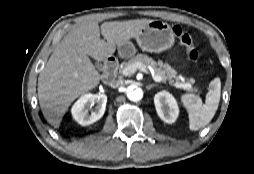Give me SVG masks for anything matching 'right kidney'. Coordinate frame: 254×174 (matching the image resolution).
Wrapping results in <instances>:
<instances>
[{
    "label": "right kidney",
    "mask_w": 254,
    "mask_h": 174,
    "mask_svg": "<svg viewBox=\"0 0 254 174\" xmlns=\"http://www.w3.org/2000/svg\"><path fill=\"white\" fill-rule=\"evenodd\" d=\"M96 103L95 109L89 114V108ZM107 96L105 94H85L73 105V118L82 126L98 121L105 113Z\"/></svg>",
    "instance_id": "1"
}]
</instances>
